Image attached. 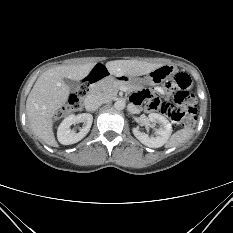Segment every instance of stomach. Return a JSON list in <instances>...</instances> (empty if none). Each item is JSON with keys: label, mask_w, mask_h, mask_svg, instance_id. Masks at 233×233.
Listing matches in <instances>:
<instances>
[{"label": "stomach", "mask_w": 233, "mask_h": 233, "mask_svg": "<svg viewBox=\"0 0 233 233\" xmlns=\"http://www.w3.org/2000/svg\"><path fill=\"white\" fill-rule=\"evenodd\" d=\"M176 69L172 65H162L159 68L153 70L152 72L148 73L145 79L134 78L130 76H119V82L125 84L130 89H138L141 88L144 84L153 85L160 81H165L172 77L175 73ZM119 79L118 77L116 78Z\"/></svg>", "instance_id": "stomach-1"}]
</instances>
